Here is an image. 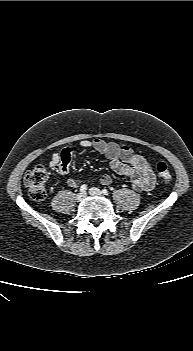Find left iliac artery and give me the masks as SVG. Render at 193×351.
<instances>
[{
  "instance_id": "1",
  "label": "left iliac artery",
  "mask_w": 193,
  "mask_h": 351,
  "mask_svg": "<svg viewBox=\"0 0 193 351\" xmlns=\"http://www.w3.org/2000/svg\"><path fill=\"white\" fill-rule=\"evenodd\" d=\"M102 193H103L104 195H108V190H107V189H103V190H102Z\"/></svg>"
}]
</instances>
